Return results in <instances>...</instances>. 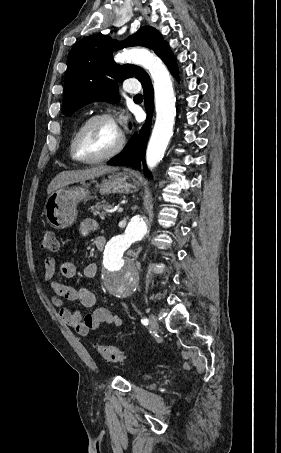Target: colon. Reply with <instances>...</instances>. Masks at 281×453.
Wrapping results in <instances>:
<instances>
[{"instance_id": "5ec220e1", "label": "colon", "mask_w": 281, "mask_h": 453, "mask_svg": "<svg viewBox=\"0 0 281 453\" xmlns=\"http://www.w3.org/2000/svg\"><path fill=\"white\" fill-rule=\"evenodd\" d=\"M58 233L55 230H47L44 233L43 240L41 241L40 248L43 252L54 253L58 251ZM96 351L99 357L105 363H123L125 360L123 352L114 347L105 345H96Z\"/></svg>"}]
</instances>
